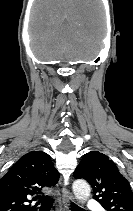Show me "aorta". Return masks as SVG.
Returning a JSON list of instances; mask_svg holds the SVG:
<instances>
[{"label": "aorta", "mask_w": 133, "mask_h": 211, "mask_svg": "<svg viewBox=\"0 0 133 211\" xmlns=\"http://www.w3.org/2000/svg\"><path fill=\"white\" fill-rule=\"evenodd\" d=\"M73 192L77 200L80 202H85L90 197V186L89 184L84 180H76L74 181L73 185Z\"/></svg>", "instance_id": "aorta-1"}]
</instances>
